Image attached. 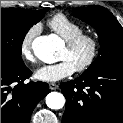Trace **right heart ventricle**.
<instances>
[{
  "label": "right heart ventricle",
  "mask_w": 123,
  "mask_h": 123,
  "mask_svg": "<svg viewBox=\"0 0 123 123\" xmlns=\"http://www.w3.org/2000/svg\"><path fill=\"white\" fill-rule=\"evenodd\" d=\"M47 25L65 41L74 35L83 32V26L80 23L70 19L62 13H58L51 17L48 20Z\"/></svg>",
  "instance_id": "obj_1"
}]
</instances>
